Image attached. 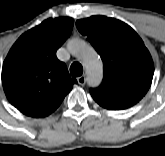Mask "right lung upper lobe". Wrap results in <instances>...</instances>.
Masks as SVG:
<instances>
[{"instance_id": "right-lung-upper-lobe-1", "label": "right lung upper lobe", "mask_w": 165, "mask_h": 156, "mask_svg": "<svg viewBox=\"0 0 165 156\" xmlns=\"http://www.w3.org/2000/svg\"><path fill=\"white\" fill-rule=\"evenodd\" d=\"M73 24L70 17L49 18L21 35L10 49L2 84L9 102L23 114L48 116L77 83L56 57Z\"/></svg>"}]
</instances>
